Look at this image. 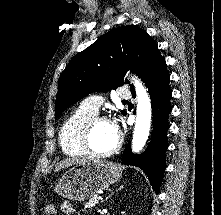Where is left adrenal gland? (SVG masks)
Wrapping results in <instances>:
<instances>
[{
	"mask_svg": "<svg viewBox=\"0 0 221 215\" xmlns=\"http://www.w3.org/2000/svg\"><path fill=\"white\" fill-rule=\"evenodd\" d=\"M123 188H124V186L121 185V186L116 190V192H118L119 190H121V189H123ZM114 193H115V192H112V193L106 198V200H107L108 198H110Z\"/></svg>",
	"mask_w": 221,
	"mask_h": 215,
	"instance_id": "left-adrenal-gland-1",
	"label": "left adrenal gland"
}]
</instances>
